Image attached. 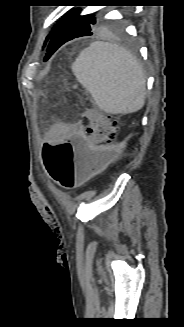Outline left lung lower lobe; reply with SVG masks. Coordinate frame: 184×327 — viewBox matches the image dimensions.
<instances>
[{
    "label": "left lung lower lobe",
    "instance_id": "obj_1",
    "mask_svg": "<svg viewBox=\"0 0 184 327\" xmlns=\"http://www.w3.org/2000/svg\"><path fill=\"white\" fill-rule=\"evenodd\" d=\"M81 37L78 31L68 28L64 23V17L55 26L48 47L45 60L49 57L65 42L72 40L74 38Z\"/></svg>",
    "mask_w": 184,
    "mask_h": 327
}]
</instances>
